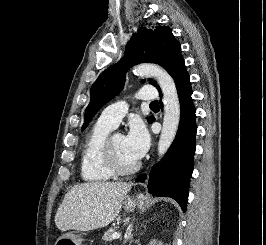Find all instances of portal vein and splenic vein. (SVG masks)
Returning <instances> with one entry per match:
<instances>
[{
	"label": "portal vein and splenic vein",
	"instance_id": "portal-vein-and-splenic-vein-1",
	"mask_svg": "<svg viewBox=\"0 0 266 245\" xmlns=\"http://www.w3.org/2000/svg\"><path fill=\"white\" fill-rule=\"evenodd\" d=\"M120 235L119 233H113L112 239H119Z\"/></svg>",
	"mask_w": 266,
	"mask_h": 245
}]
</instances>
